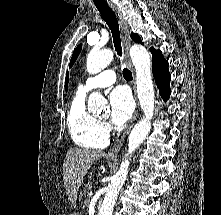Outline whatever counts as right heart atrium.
Returning a JSON list of instances; mask_svg holds the SVG:
<instances>
[{"mask_svg":"<svg viewBox=\"0 0 221 215\" xmlns=\"http://www.w3.org/2000/svg\"><path fill=\"white\" fill-rule=\"evenodd\" d=\"M101 129H102V132H103L105 135H108L109 132H110V130H111L109 124L106 123V122H101Z\"/></svg>","mask_w":221,"mask_h":215,"instance_id":"obj_1","label":"right heart atrium"}]
</instances>
